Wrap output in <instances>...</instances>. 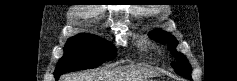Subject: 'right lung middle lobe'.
I'll use <instances>...</instances> for the list:
<instances>
[{
	"mask_svg": "<svg viewBox=\"0 0 237 81\" xmlns=\"http://www.w3.org/2000/svg\"><path fill=\"white\" fill-rule=\"evenodd\" d=\"M115 57L116 49L111 43L95 35L79 34L67 41L54 75L95 68Z\"/></svg>",
	"mask_w": 237,
	"mask_h": 81,
	"instance_id": "dd1d6c3e",
	"label": "right lung middle lobe"
}]
</instances>
